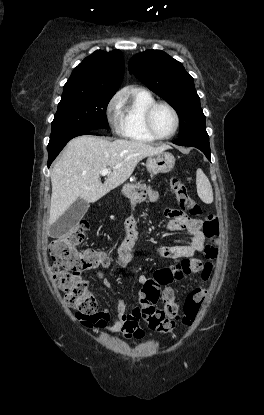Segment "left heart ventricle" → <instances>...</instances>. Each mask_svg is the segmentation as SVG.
I'll list each match as a JSON object with an SVG mask.
<instances>
[{"instance_id": "left-heart-ventricle-1", "label": "left heart ventricle", "mask_w": 264, "mask_h": 415, "mask_svg": "<svg viewBox=\"0 0 264 415\" xmlns=\"http://www.w3.org/2000/svg\"><path fill=\"white\" fill-rule=\"evenodd\" d=\"M152 120L155 131L161 136L171 133L175 125L172 112L164 106H160L154 111Z\"/></svg>"}]
</instances>
